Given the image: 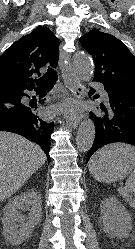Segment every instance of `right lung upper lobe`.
I'll return each mask as SVG.
<instances>
[{"instance_id": "obj_1", "label": "right lung upper lobe", "mask_w": 135, "mask_h": 249, "mask_svg": "<svg viewBox=\"0 0 135 249\" xmlns=\"http://www.w3.org/2000/svg\"><path fill=\"white\" fill-rule=\"evenodd\" d=\"M59 40L50 29L39 26L14 42L0 56V92H17L34 88L32 75L50 63L56 66Z\"/></svg>"}]
</instances>
